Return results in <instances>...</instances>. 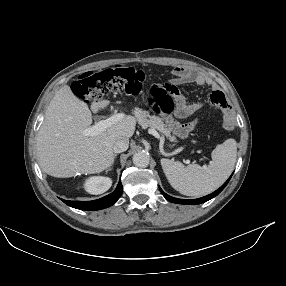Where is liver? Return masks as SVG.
<instances>
[{
    "mask_svg": "<svg viewBox=\"0 0 286 286\" xmlns=\"http://www.w3.org/2000/svg\"><path fill=\"white\" fill-rule=\"evenodd\" d=\"M94 102L93 110L104 108ZM92 114L68 85L62 86L51 100L37 136V155L42 170L54 177L67 178L75 173H100L113 162V146L119 138H131L136 120L127 116L93 136L83 131L90 127Z\"/></svg>",
    "mask_w": 286,
    "mask_h": 286,
    "instance_id": "1",
    "label": "liver"
}]
</instances>
